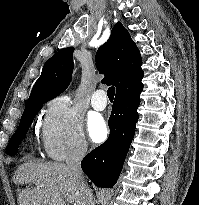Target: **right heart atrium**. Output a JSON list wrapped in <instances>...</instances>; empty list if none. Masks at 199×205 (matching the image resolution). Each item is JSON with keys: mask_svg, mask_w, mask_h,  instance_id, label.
<instances>
[{"mask_svg": "<svg viewBox=\"0 0 199 205\" xmlns=\"http://www.w3.org/2000/svg\"><path fill=\"white\" fill-rule=\"evenodd\" d=\"M41 135L44 151L53 160L82 157L88 151L81 118L66 97H56L48 102Z\"/></svg>", "mask_w": 199, "mask_h": 205, "instance_id": "d8ad5b80", "label": "right heart atrium"}]
</instances>
